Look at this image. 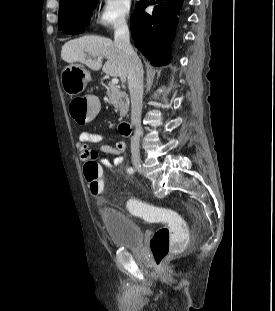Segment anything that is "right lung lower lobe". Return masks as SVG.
<instances>
[{"instance_id": "right-lung-lower-lobe-1", "label": "right lung lower lobe", "mask_w": 275, "mask_h": 311, "mask_svg": "<svg viewBox=\"0 0 275 311\" xmlns=\"http://www.w3.org/2000/svg\"><path fill=\"white\" fill-rule=\"evenodd\" d=\"M183 0H156L153 13L144 9L148 1H140L131 17V32L135 38L136 47L149 59L152 65H166L170 61L169 48L175 34L177 16ZM78 28L75 33L84 31Z\"/></svg>"}]
</instances>
